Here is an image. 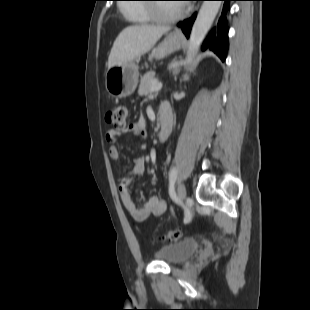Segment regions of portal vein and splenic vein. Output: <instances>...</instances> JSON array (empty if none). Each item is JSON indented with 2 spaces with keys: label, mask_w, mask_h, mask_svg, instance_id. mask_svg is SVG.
<instances>
[{
  "label": "portal vein and splenic vein",
  "mask_w": 310,
  "mask_h": 310,
  "mask_svg": "<svg viewBox=\"0 0 310 310\" xmlns=\"http://www.w3.org/2000/svg\"><path fill=\"white\" fill-rule=\"evenodd\" d=\"M161 88H162V83L157 82V83L153 84V86L151 87V91L156 92V91H159Z\"/></svg>",
  "instance_id": "portal-vein-and-splenic-vein-1"
}]
</instances>
